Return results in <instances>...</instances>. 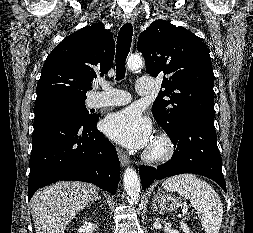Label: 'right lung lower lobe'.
<instances>
[{
	"mask_svg": "<svg viewBox=\"0 0 253 233\" xmlns=\"http://www.w3.org/2000/svg\"><path fill=\"white\" fill-rule=\"evenodd\" d=\"M98 119L48 115L34 120L29 200L36 190L59 180L89 182L116 193L120 162L113 144L97 130Z\"/></svg>",
	"mask_w": 253,
	"mask_h": 233,
	"instance_id": "98d812e1",
	"label": "right lung lower lobe"
}]
</instances>
